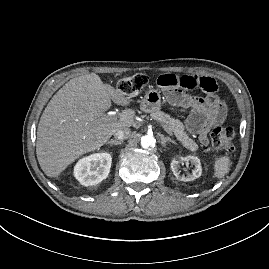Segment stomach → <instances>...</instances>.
I'll use <instances>...</instances> for the list:
<instances>
[{
  "label": "stomach",
  "mask_w": 269,
  "mask_h": 269,
  "mask_svg": "<svg viewBox=\"0 0 269 269\" xmlns=\"http://www.w3.org/2000/svg\"><path fill=\"white\" fill-rule=\"evenodd\" d=\"M161 102L162 97L160 91L150 89L141 101V109L147 113L158 111L161 108Z\"/></svg>",
  "instance_id": "0dacf381"
}]
</instances>
